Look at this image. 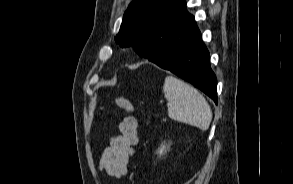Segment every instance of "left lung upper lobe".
I'll use <instances>...</instances> for the list:
<instances>
[{
  "mask_svg": "<svg viewBox=\"0 0 293 184\" xmlns=\"http://www.w3.org/2000/svg\"><path fill=\"white\" fill-rule=\"evenodd\" d=\"M184 0H134L124 13L115 41L121 47L132 45L134 50L147 59L153 55L146 46L163 35L171 16Z\"/></svg>",
  "mask_w": 293,
  "mask_h": 184,
  "instance_id": "obj_1",
  "label": "left lung upper lobe"
}]
</instances>
